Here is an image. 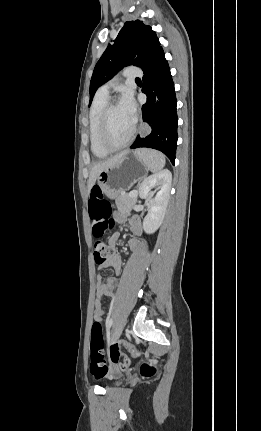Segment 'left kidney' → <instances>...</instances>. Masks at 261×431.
Masks as SVG:
<instances>
[{"label":"left kidney","instance_id":"1","mask_svg":"<svg viewBox=\"0 0 261 431\" xmlns=\"http://www.w3.org/2000/svg\"><path fill=\"white\" fill-rule=\"evenodd\" d=\"M171 182V172L164 169L147 177L139 187L140 198L149 202V211L143 220V229L147 234L154 233L164 220L170 197ZM155 186H159V191L153 197L154 192L151 189Z\"/></svg>","mask_w":261,"mask_h":431}]
</instances>
